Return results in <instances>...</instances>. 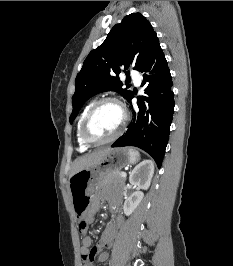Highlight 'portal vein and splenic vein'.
<instances>
[{
	"label": "portal vein and splenic vein",
	"mask_w": 233,
	"mask_h": 266,
	"mask_svg": "<svg viewBox=\"0 0 233 266\" xmlns=\"http://www.w3.org/2000/svg\"><path fill=\"white\" fill-rule=\"evenodd\" d=\"M127 174L125 172H121V177L126 178Z\"/></svg>",
	"instance_id": "1"
}]
</instances>
